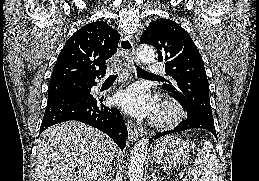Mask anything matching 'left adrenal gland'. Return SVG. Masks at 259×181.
<instances>
[{
	"label": "left adrenal gland",
	"instance_id": "1",
	"mask_svg": "<svg viewBox=\"0 0 259 181\" xmlns=\"http://www.w3.org/2000/svg\"><path fill=\"white\" fill-rule=\"evenodd\" d=\"M159 178L155 176V173H151V180L150 181H157Z\"/></svg>",
	"mask_w": 259,
	"mask_h": 181
}]
</instances>
